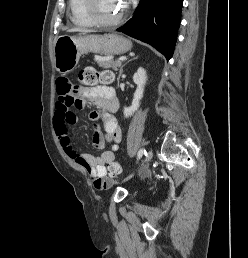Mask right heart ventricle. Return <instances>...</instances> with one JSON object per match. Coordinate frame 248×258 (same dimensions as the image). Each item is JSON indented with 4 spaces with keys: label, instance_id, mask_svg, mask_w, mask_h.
<instances>
[{
    "label": "right heart ventricle",
    "instance_id": "e07e8e85",
    "mask_svg": "<svg viewBox=\"0 0 248 258\" xmlns=\"http://www.w3.org/2000/svg\"><path fill=\"white\" fill-rule=\"evenodd\" d=\"M84 2V0H69L71 20L78 26L89 27L92 26L93 23L85 13Z\"/></svg>",
    "mask_w": 248,
    "mask_h": 258
}]
</instances>
